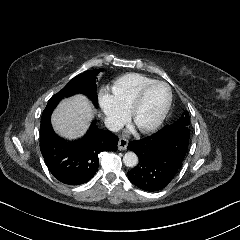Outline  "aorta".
<instances>
[{
  "label": "aorta",
  "instance_id": "obj_1",
  "mask_svg": "<svg viewBox=\"0 0 240 240\" xmlns=\"http://www.w3.org/2000/svg\"><path fill=\"white\" fill-rule=\"evenodd\" d=\"M123 163L127 167H134L138 164V157L134 152H127L123 157Z\"/></svg>",
  "mask_w": 240,
  "mask_h": 240
}]
</instances>
